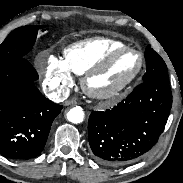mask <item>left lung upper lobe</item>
<instances>
[{"mask_svg":"<svg viewBox=\"0 0 183 183\" xmlns=\"http://www.w3.org/2000/svg\"><path fill=\"white\" fill-rule=\"evenodd\" d=\"M147 62L146 73L143 76V82L164 81L169 82L167 67L163 59L148 46L145 51Z\"/></svg>","mask_w":183,"mask_h":183,"instance_id":"5c2ea615","label":"left lung upper lobe"}]
</instances>
